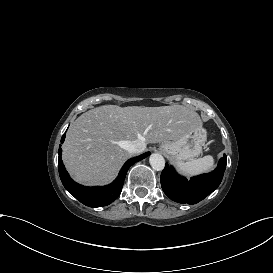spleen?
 Returning <instances> with one entry per match:
<instances>
[{
    "label": "spleen",
    "mask_w": 273,
    "mask_h": 273,
    "mask_svg": "<svg viewBox=\"0 0 273 273\" xmlns=\"http://www.w3.org/2000/svg\"><path fill=\"white\" fill-rule=\"evenodd\" d=\"M175 164L181 173L195 175L209 171L213 167L214 160L208 155L203 158L190 159L187 162L177 161Z\"/></svg>",
    "instance_id": "1"
}]
</instances>
